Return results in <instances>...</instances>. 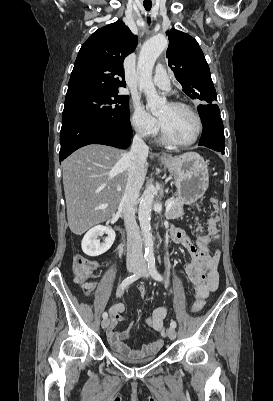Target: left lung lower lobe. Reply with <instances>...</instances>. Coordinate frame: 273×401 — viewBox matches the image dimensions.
I'll use <instances>...</instances> for the list:
<instances>
[{
	"mask_svg": "<svg viewBox=\"0 0 273 401\" xmlns=\"http://www.w3.org/2000/svg\"><path fill=\"white\" fill-rule=\"evenodd\" d=\"M198 112L201 117L204 131L199 145L206 146L224 154V131L220 116V109L216 104L199 105Z\"/></svg>",
	"mask_w": 273,
	"mask_h": 401,
	"instance_id": "left-lung-lower-lobe-1",
	"label": "left lung lower lobe"
}]
</instances>
